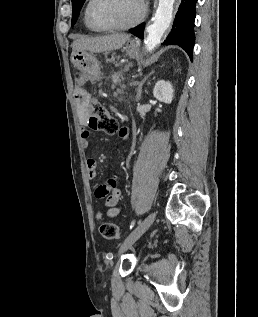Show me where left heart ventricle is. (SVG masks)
I'll list each match as a JSON object with an SVG mask.
<instances>
[{"label": "left heart ventricle", "instance_id": "1", "mask_svg": "<svg viewBox=\"0 0 258 317\" xmlns=\"http://www.w3.org/2000/svg\"><path fill=\"white\" fill-rule=\"evenodd\" d=\"M139 8L133 0H100L92 8V18L101 26H129Z\"/></svg>", "mask_w": 258, "mask_h": 317}]
</instances>
